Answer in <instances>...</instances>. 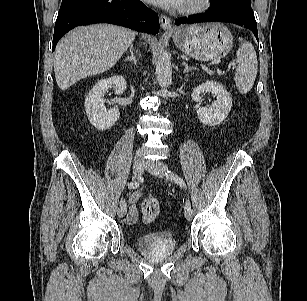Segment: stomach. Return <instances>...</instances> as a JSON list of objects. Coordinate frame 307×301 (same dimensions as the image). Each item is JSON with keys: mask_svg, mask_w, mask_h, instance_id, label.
<instances>
[{"mask_svg": "<svg viewBox=\"0 0 307 301\" xmlns=\"http://www.w3.org/2000/svg\"><path fill=\"white\" fill-rule=\"evenodd\" d=\"M175 45L201 61H216L226 56L233 46V37L222 23L193 24L172 31Z\"/></svg>", "mask_w": 307, "mask_h": 301, "instance_id": "obj_1", "label": "stomach"}]
</instances>
